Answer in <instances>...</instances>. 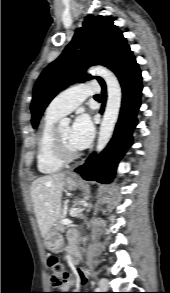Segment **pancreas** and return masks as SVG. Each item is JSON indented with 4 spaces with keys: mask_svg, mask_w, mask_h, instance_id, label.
I'll return each instance as SVG.
<instances>
[{
    "mask_svg": "<svg viewBox=\"0 0 170 293\" xmlns=\"http://www.w3.org/2000/svg\"><path fill=\"white\" fill-rule=\"evenodd\" d=\"M66 215L67 214H66L65 210L64 209H61L60 212H59V214H58V216H57L56 223L54 225L55 226V229L57 231L64 232L65 226L62 224V220L64 218H66Z\"/></svg>",
    "mask_w": 170,
    "mask_h": 293,
    "instance_id": "1",
    "label": "pancreas"
}]
</instances>
